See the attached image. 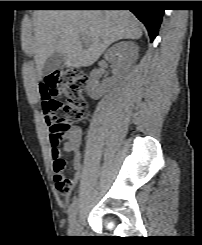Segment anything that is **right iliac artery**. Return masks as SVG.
Wrapping results in <instances>:
<instances>
[{
	"instance_id": "1",
	"label": "right iliac artery",
	"mask_w": 202,
	"mask_h": 245,
	"mask_svg": "<svg viewBox=\"0 0 202 245\" xmlns=\"http://www.w3.org/2000/svg\"><path fill=\"white\" fill-rule=\"evenodd\" d=\"M79 200L75 197L70 205L69 221L72 222L77 214Z\"/></svg>"
}]
</instances>
